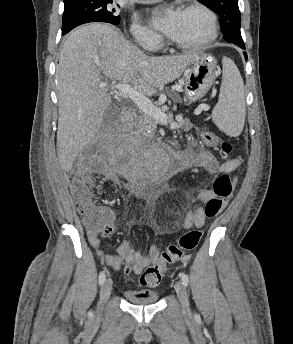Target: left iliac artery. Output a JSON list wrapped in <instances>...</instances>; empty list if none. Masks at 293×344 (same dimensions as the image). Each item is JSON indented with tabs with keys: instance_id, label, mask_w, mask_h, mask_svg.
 I'll use <instances>...</instances> for the list:
<instances>
[{
	"instance_id": "obj_1",
	"label": "left iliac artery",
	"mask_w": 293,
	"mask_h": 344,
	"mask_svg": "<svg viewBox=\"0 0 293 344\" xmlns=\"http://www.w3.org/2000/svg\"><path fill=\"white\" fill-rule=\"evenodd\" d=\"M179 276H180V278H181V280H182V283H183L185 286H187L188 283H189V277H188V275H187L186 273L182 272V273L179 274Z\"/></svg>"
}]
</instances>
